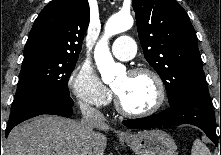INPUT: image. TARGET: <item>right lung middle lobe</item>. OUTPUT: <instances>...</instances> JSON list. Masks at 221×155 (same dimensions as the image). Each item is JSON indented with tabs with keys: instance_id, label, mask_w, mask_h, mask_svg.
Listing matches in <instances>:
<instances>
[{
	"instance_id": "dd1d6c3e",
	"label": "right lung middle lobe",
	"mask_w": 221,
	"mask_h": 155,
	"mask_svg": "<svg viewBox=\"0 0 221 155\" xmlns=\"http://www.w3.org/2000/svg\"><path fill=\"white\" fill-rule=\"evenodd\" d=\"M76 62L46 55L24 57L12 108L38 90L69 97L67 82Z\"/></svg>"
}]
</instances>
